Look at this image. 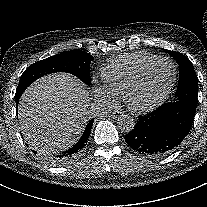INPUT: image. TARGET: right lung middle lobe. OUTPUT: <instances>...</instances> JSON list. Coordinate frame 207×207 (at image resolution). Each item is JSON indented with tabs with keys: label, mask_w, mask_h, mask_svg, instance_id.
<instances>
[{
	"label": "right lung middle lobe",
	"mask_w": 207,
	"mask_h": 207,
	"mask_svg": "<svg viewBox=\"0 0 207 207\" xmlns=\"http://www.w3.org/2000/svg\"><path fill=\"white\" fill-rule=\"evenodd\" d=\"M93 56L81 50L63 52L30 65L22 74L16 89V98L36 79L54 72H66L90 85L89 66Z\"/></svg>",
	"instance_id": "obj_1"
}]
</instances>
